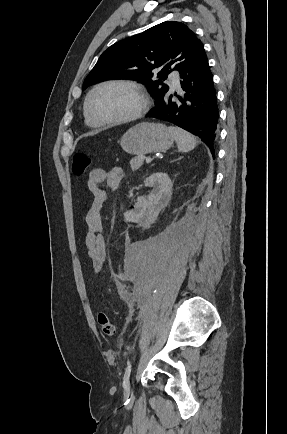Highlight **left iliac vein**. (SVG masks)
Wrapping results in <instances>:
<instances>
[{
	"mask_svg": "<svg viewBox=\"0 0 287 434\" xmlns=\"http://www.w3.org/2000/svg\"><path fill=\"white\" fill-rule=\"evenodd\" d=\"M131 392L130 382H128L127 387L125 388V395H129Z\"/></svg>",
	"mask_w": 287,
	"mask_h": 434,
	"instance_id": "left-iliac-vein-1",
	"label": "left iliac vein"
}]
</instances>
